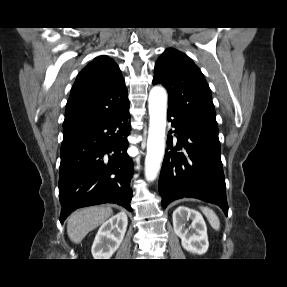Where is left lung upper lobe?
Wrapping results in <instances>:
<instances>
[{
  "mask_svg": "<svg viewBox=\"0 0 287 287\" xmlns=\"http://www.w3.org/2000/svg\"><path fill=\"white\" fill-rule=\"evenodd\" d=\"M153 84L169 93L168 109L218 139V124L211 90L200 69L184 53L168 48L155 64Z\"/></svg>",
  "mask_w": 287,
  "mask_h": 287,
  "instance_id": "5c2ea615",
  "label": "left lung upper lobe"
}]
</instances>
